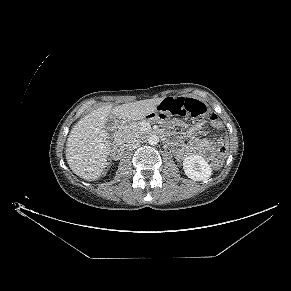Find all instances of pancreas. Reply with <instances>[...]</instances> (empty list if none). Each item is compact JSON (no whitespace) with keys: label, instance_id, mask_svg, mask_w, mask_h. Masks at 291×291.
Wrapping results in <instances>:
<instances>
[{"label":"pancreas","instance_id":"pancreas-1","mask_svg":"<svg viewBox=\"0 0 291 291\" xmlns=\"http://www.w3.org/2000/svg\"><path fill=\"white\" fill-rule=\"evenodd\" d=\"M142 133H144V131L141 129V123H130L120 128V136L124 141L132 136L141 135Z\"/></svg>","mask_w":291,"mask_h":291}]
</instances>
